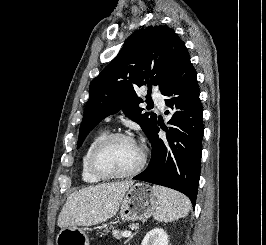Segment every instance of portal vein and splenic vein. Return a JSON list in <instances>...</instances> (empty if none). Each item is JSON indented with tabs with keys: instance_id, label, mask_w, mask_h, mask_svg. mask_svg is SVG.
I'll use <instances>...</instances> for the list:
<instances>
[{
	"instance_id": "1",
	"label": "portal vein and splenic vein",
	"mask_w": 266,
	"mask_h": 245,
	"mask_svg": "<svg viewBox=\"0 0 266 245\" xmlns=\"http://www.w3.org/2000/svg\"><path fill=\"white\" fill-rule=\"evenodd\" d=\"M122 237H132L131 231H124V233H121Z\"/></svg>"
}]
</instances>
